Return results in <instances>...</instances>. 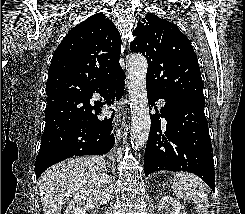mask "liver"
Listing matches in <instances>:
<instances>
[{"instance_id":"6515ba94","label":"liver","mask_w":245,"mask_h":214,"mask_svg":"<svg viewBox=\"0 0 245 214\" xmlns=\"http://www.w3.org/2000/svg\"><path fill=\"white\" fill-rule=\"evenodd\" d=\"M103 157L86 156L60 162L40 177L38 185L44 214H61L63 204L105 169Z\"/></svg>"}]
</instances>
